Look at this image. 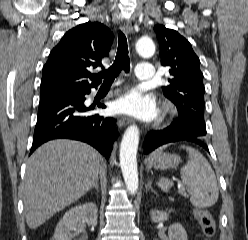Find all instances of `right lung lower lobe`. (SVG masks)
I'll use <instances>...</instances> for the list:
<instances>
[{
	"label": "right lung lower lobe",
	"instance_id": "1",
	"mask_svg": "<svg viewBox=\"0 0 248 240\" xmlns=\"http://www.w3.org/2000/svg\"><path fill=\"white\" fill-rule=\"evenodd\" d=\"M90 92L40 100L30 154L49 140L68 138L86 142L109 158L118 135L116 119L89 112L92 108L84 106V96Z\"/></svg>",
	"mask_w": 248,
	"mask_h": 240
}]
</instances>
